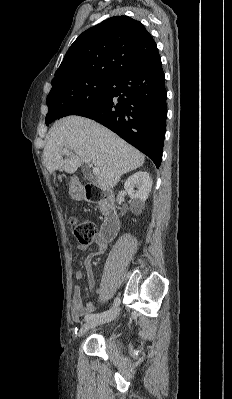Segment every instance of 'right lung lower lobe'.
Masks as SVG:
<instances>
[{
  "label": "right lung lower lobe",
  "mask_w": 232,
  "mask_h": 399,
  "mask_svg": "<svg viewBox=\"0 0 232 399\" xmlns=\"http://www.w3.org/2000/svg\"><path fill=\"white\" fill-rule=\"evenodd\" d=\"M165 75L158 50L110 78L103 96L60 117L78 115L106 126L146 154L158 168L165 138Z\"/></svg>",
  "instance_id": "98d812e1"
}]
</instances>
